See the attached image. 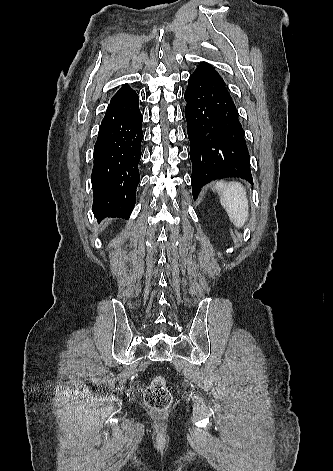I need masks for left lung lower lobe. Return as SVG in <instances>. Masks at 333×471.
<instances>
[{"instance_id":"0a47b994","label":"left lung lower lobe","mask_w":333,"mask_h":471,"mask_svg":"<svg viewBox=\"0 0 333 471\" xmlns=\"http://www.w3.org/2000/svg\"><path fill=\"white\" fill-rule=\"evenodd\" d=\"M192 192L222 177L252 183L250 156L239 114L226 84L212 65L200 62L185 91Z\"/></svg>"}]
</instances>
